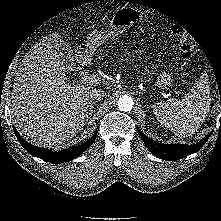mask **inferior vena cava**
I'll use <instances>...</instances> for the list:
<instances>
[{
	"mask_svg": "<svg viewBox=\"0 0 221 221\" xmlns=\"http://www.w3.org/2000/svg\"><path fill=\"white\" fill-rule=\"evenodd\" d=\"M105 95H106V92L101 89H92L89 92V97L93 101H100L105 97Z\"/></svg>",
	"mask_w": 221,
	"mask_h": 221,
	"instance_id": "obj_1",
	"label": "inferior vena cava"
}]
</instances>
